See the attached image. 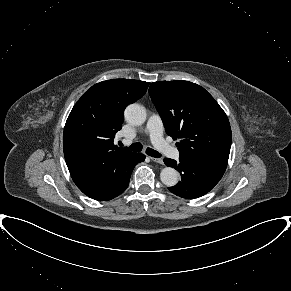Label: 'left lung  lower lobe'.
I'll use <instances>...</instances> for the list:
<instances>
[{
  "instance_id": "obj_1",
  "label": "left lung lower lobe",
  "mask_w": 291,
  "mask_h": 291,
  "mask_svg": "<svg viewBox=\"0 0 291 291\" xmlns=\"http://www.w3.org/2000/svg\"><path fill=\"white\" fill-rule=\"evenodd\" d=\"M164 163L178 169L181 175L177 185L168 189L177 196L194 199L214 188L222 178L228 161L180 156L179 161L165 158Z\"/></svg>"
}]
</instances>
